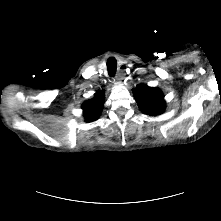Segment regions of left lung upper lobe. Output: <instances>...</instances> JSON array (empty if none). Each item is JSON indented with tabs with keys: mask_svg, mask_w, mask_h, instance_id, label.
Listing matches in <instances>:
<instances>
[{
	"mask_svg": "<svg viewBox=\"0 0 221 221\" xmlns=\"http://www.w3.org/2000/svg\"><path fill=\"white\" fill-rule=\"evenodd\" d=\"M140 110L144 114L159 115L164 111L165 101L163 93L157 88L139 85L133 90Z\"/></svg>",
	"mask_w": 221,
	"mask_h": 221,
	"instance_id": "5c2ea615",
	"label": "left lung upper lobe"
}]
</instances>
